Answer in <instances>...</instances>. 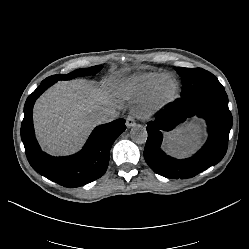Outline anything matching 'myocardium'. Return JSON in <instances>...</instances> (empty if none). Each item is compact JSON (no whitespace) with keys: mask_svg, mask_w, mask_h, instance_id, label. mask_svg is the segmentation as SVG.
<instances>
[{"mask_svg":"<svg viewBox=\"0 0 249 249\" xmlns=\"http://www.w3.org/2000/svg\"><path fill=\"white\" fill-rule=\"evenodd\" d=\"M167 84H172L170 92H164ZM180 95V82L173 75H166L157 80L149 89L142 102V111L145 114L153 115L162 112L172 105Z\"/></svg>","mask_w":249,"mask_h":249,"instance_id":"1","label":"myocardium"}]
</instances>
